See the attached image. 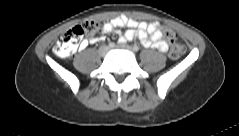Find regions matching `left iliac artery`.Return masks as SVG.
<instances>
[{
	"label": "left iliac artery",
	"instance_id": "obj_1",
	"mask_svg": "<svg viewBox=\"0 0 239 136\" xmlns=\"http://www.w3.org/2000/svg\"><path fill=\"white\" fill-rule=\"evenodd\" d=\"M133 50H134V51H138V50H139V47L135 45V46L133 47Z\"/></svg>",
	"mask_w": 239,
	"mask_h": 136
}]
</instances>
